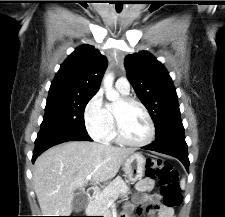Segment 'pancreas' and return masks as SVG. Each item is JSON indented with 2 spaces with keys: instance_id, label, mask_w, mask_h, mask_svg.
Returning a JSON list of instances; mask_svg holds the SVG:
<instances>
[{
  "instance_id": "cf45deb5",
  "label": "pancreas",
  "mask_w": 225,
  "mask_h": 217,
  "mask_svg": "<svg viewBox=\"0 0 225 217\" xmlns=\"http://www.w3.org/2000/svg\"><path fill=\"white\" fill-rule=\"evenodd\" d=\"M128 192V185L118 176L94 196L89 202L88 212L96 216L112 217L109 210L110 203L117 200L119 196H126Z\"/></svg>"
}]
</instances>
